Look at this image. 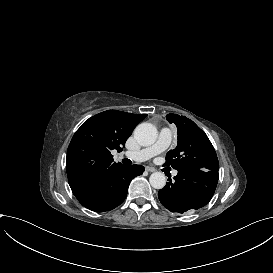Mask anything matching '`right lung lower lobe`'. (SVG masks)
Wrapping results in <instances>:
<instances>
[{"label":"right lung lower lobe","instance_id":"obj_1","mask_svg":"<svg viewBox=\"0 0 273 273\" xmlns=\"http://www.w3.org/2000/svg\"><path fill=\"white\" fill-rule=\"evenodd\" d=\"M140 165H120L108 171L88 189L75 195L86 208L104 212L116 208L126 198L131 180L144 172Z\"/></svg>","mask_w":273,"mask_h":273}]
</instances>
